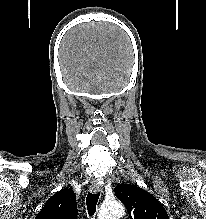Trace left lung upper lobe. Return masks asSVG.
I'll return each mask as SVG.
<instances>
[{"mask_svg": "<svg viewBox=\"0 0 206 219\" xmlns=\"http://www.w3.org/2000/svg\"><path fill=\"white\" fill-rule=\"evenodd\" d=\"M114 192L126 206L130 219H169L163 205L138 186L118 184Z\"/></svg>", "mask_w": 206, "mask_h": 219, "instance_id": "left-lung-upper-lobe-1", "label": "left lung upper lobe"}]
</instances>
